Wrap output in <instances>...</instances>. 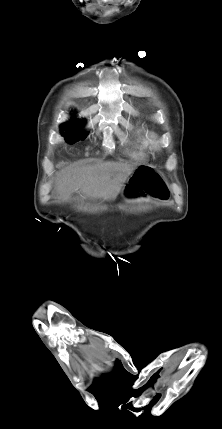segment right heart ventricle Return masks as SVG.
Here are the masks:
<instances>
[{
    "mask_svg": "<svg viewBox=\"0 0 222 429\" xmlns=\"http://www.w3.org/2000/svg\"><path fill=\"white\" fill-rule=\"evenodd\" d=\"M149 133L144 128H139L133 138V146L129 155L136 160H146L148 157Z\"/></svg>",
    "mask_w": 222,
    "mask_h": 429,
    "instance_id": "1",
    "label": "right heart ventricle"
}]
</instances>
